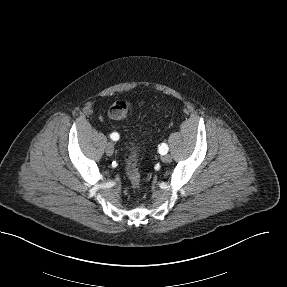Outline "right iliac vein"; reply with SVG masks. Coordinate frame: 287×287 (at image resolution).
Masks as SVG:
<instances>
[{"mask_svg":"<svg viewBox=\"0 0 287 287\" xmlns=\"http://www.w3.org/2000/svg\"><path fill=\"white\" fill-rule=\"evenodd\" d=\"M105 152L108 156H111L114 152V146L112 143H108L105 148Z\"/></svg>","mask_w":287,"mask_h":287,"instance_id":"right-iliac-vein-1","label":"right iliac vein"}]
</instances>
